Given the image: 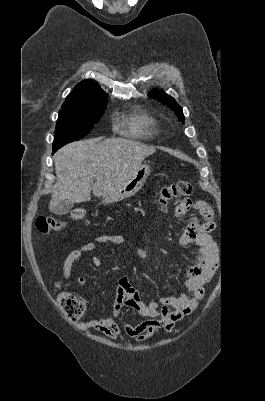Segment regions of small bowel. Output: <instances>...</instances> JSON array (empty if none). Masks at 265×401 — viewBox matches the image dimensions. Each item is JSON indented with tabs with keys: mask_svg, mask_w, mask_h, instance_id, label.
Masks as SVG:
<instances>
[{
	"mask_svg": "<svg viewBox=\"0 0 265 401\" xmlns=\"http://www.w3.org/2000/svg\"><path fill=\"white\" fill-rule=\"evenodd\" d=\"M174 215L177 219L183 218L188 212L194 213L182 234L179 237V244L187 246L195 244L199 247L195 256L194 265L190 266L184 274V285L187 293L180 297H162L159 302L150 301L144 303L140 293L133 288L128 277H122L116 289V298L113 302L112 312L104 318L92 319L79 324L81 330L94 329L112 340L130 337L136 342H143L160 328L166 325L172 329L173 325L193 313L204 296V284L213 275L218 264V251L216 243L209 233L214 229V212L212 207L203 200H192L190 198L177 199L173 202ZM124 238L121 235H99L72 250L63 263V277L66 280L71 278L73 264L85 253L91 252L98 245L104 243L122 244ZM136 254L141 259H147V252L138 247ZM96 267H101L102 262L97 257L90 259ZM86 277L80 276L77 280V288L86 283ZM162 305L161 311L158 310ZM123 307L134 309L139 316L150 318L137 325L128 322L118 324V317Z\"/></svg>",
	"mask_w": 265,
	"mask_h": 401,
	"instance_id": "obj_1",
	"label": "small bowel"
}]
</instances>
